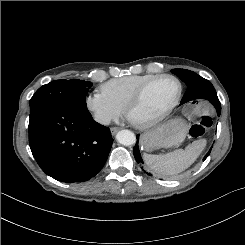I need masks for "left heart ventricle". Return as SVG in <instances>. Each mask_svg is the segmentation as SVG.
<instances>
[{"instance_id": "b2bd125f", "label": "left heart ventricle", "mask_w": 245, "mask_h": 245, "mask_svg": "<svg viewBox=\"0 0 245 245\" xmlns=\"http://www.w3.org/2000/svg\"><path fill=\"white\" fill-rule=\"evenodd\" d=\"M178 93V84L171 79H163L152 84L145 92L140 104L131 113L136 122L152 119L163 113Z\"/></svg>"}]
</instances>
